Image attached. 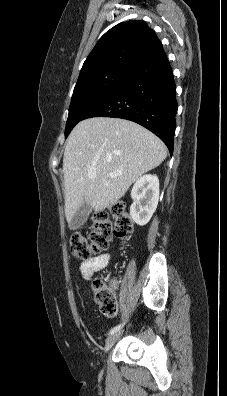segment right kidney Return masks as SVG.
Returning <instances> with one entry per match:
<instances>
[{
  "label": "right kidney",
  "instance_id": "1",
  "mask_svg": "<svg viewBox=\"0 0 227 396\" xmlns=\"http://www.w3.org/2000/svg\"><path fill=\"white\" fill-rule=\"evenodd\" d=\"M131 198L130 206L132 220L140 226L149 222L155 212L159 200V180L155 175H144L136 180Z\"/></svg>",
  "mask_w": 227,
  "mask_h": 396
}]
</instances>
